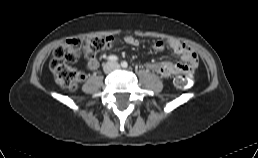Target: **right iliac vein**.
<instances>
[{
	"label": "right iliac vein",
	"mask_w": 258,
	"mask_h": 158,
	"mask_svg": "<svg viewBox=\"0 0 258 158\" xmlns=\"http://www.w3.org/2000/svg\"><path fill=\"white\" fill-rule=\"evenodd\" d=\"M113 69H114V66H113V64H111V63H107V64L104 66V72H105L106 74H109Z\"/></svg>",
	"instance_id": "right-iliac-vein-1"
}]
</instances>
